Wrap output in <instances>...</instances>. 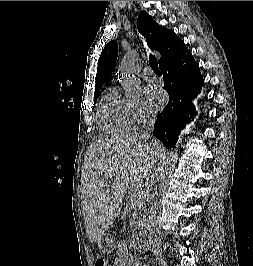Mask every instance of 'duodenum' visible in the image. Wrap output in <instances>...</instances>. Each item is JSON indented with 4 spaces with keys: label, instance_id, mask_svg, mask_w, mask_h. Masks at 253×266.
I'll return each mask as SVG.
<instances>
[{
    "label": "duodenum",
    "instance_id": "obj_1",
    "mask_svg": "<svg viewBox=\"0 0 253 266\" xmlns=\"http://www.w3.org/2000/svg\"><path fill=\"white\" fill-rule=\"evenodd\" d=\"M123 264H124V265H127V264H128L127 260H124V261H123Z\"/></svg>",
    "mask_w": 253,
    "mask_h": 266
}]
</instances>
